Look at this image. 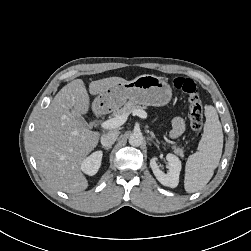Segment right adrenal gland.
<instances>
[{"label": "right adrenal gland", "mask_w": 251, "mask_h": 251, "mask_svg": "<svg viewBox=\"0 0 251 251\" xmlns=\"http://www.w3.org/2000/svg\"><path fill=\"white\" fill-rule=\"evenodd\" d=\"M102 148L105 149V150H110L111 149V147H104V146H102Z\"/></svg>", "instance_id": "obj_1"}]
</instances>
